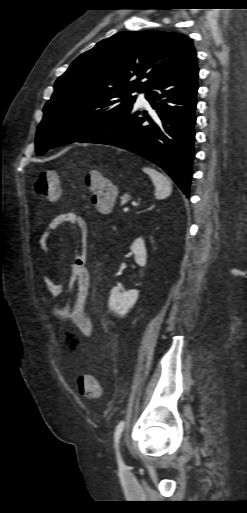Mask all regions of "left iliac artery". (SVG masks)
<instances>
[{
	"label": "left iliac artery",
	"instance_id": "44dca946",
	"mask_svg": "<svg viewBox=\"0 0 247 513\" xmlns=\"http://www.w3.org/2000/svg\"><path fill=\"white\" fill-rule=\"evenodd\" d=\"M124 426H125V422L124 421H120L119 424L117 425L116 429H115V434H114V447H115V450H116L117 461H118V464H119L120 468H124L125 467V465H124V463H123V461L121 459L120 452H119V441H120L122 432L124 430Z\"/></svg>",
	"mask_w": 247,
	"mask_h": 513
}]
</instances>
